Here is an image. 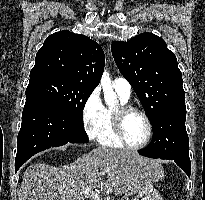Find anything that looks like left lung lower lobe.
<instances>
[{
	"label": "left lung lower lobe",
	"instance_id": "0a47b994",
	"mask_svg": "<svg viewBox=\"0 0 205 200\" xmlns=\"http://www.w3.org/2000/svg\"><path fill=\"white\" fill-rule=\"evenodd\" d=\"M185 120V102L167 107L152 125L153 138L150 145L139 153L151 158L174 161L190 177L191 162Z\"/></svg>",
	"mask_w": 205,
	"mask_h": 200
}]
</instances>
